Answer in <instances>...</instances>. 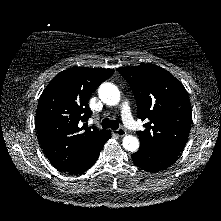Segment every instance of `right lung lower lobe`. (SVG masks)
Segmentation results:
<instances>
[{"label": "right lung lower lobe", "mask_w": 221, "mask_h": 221, "mask_svg": "<svg viewBox=\"0 0 221 221\" xmlns=\"http://www.w3.org/2000/svg\"><path fill=\"white\" fill-rule=\"evenodd\" d=\"M110 137L111 132L107 130L102 138L97 143H95L81 158H79L71 166L63 171L69 172L71 174H80L88 170L97 161L100 151Z\"/></svg>", "instance_id": "obj_1"}]
</instances>
